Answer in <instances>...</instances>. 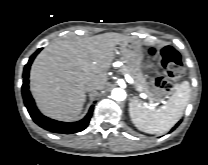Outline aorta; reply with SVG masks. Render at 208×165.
<instances>
[{"label": "aorta", "mask_w": 208, "mask_h": 165, "mask_svg": "<svg viewBox=\"0 0 208 165\" xmlns=\"http://www.w3.org/2000/svg\"><path fill=\"white\" fill-rule=\"evenodd\" d=\"M111 97L116 101H123L126 98V92L121 88H115L112 90Z\"/></svg>", "instance_id": "762f6f07"}]
</instances>
